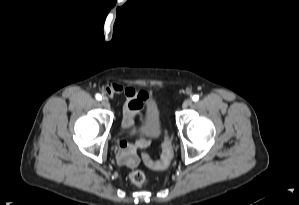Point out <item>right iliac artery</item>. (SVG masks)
I'll use <instances>...</instances> for the list:
<instances>
[{
    "label": "right iliac artery",
    "instance_id": "obj_1",
    "mask_svg": "<svg viewBox=\"0 0 299 205\" xmlns=\"http://www.w3.org/2000/svg\"><path fill=\"white\" fill-rule=\"evenodd\" d=\"M95 97H96L97 100H101L102 99V96L100 94H96Z\"/></svg>",
    "mask_w": 299,
    "mask_h": 205
}]
</instances>
